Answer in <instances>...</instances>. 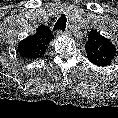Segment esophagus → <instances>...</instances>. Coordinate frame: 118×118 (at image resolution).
Here are the masks:
<instances>
[{
    "mask_svg": "<svg viewBox=\"0 0 118 118\" xmlns=\"http://www.w3.org/2000/svg\"><path fill=\"white\" fill-rule=\"evenodd\" d=\"M67 34H69L68 31L63 32V31H61V30H58V31L56 32V35H58V36H63V35H67Z\"/></svg>",
    "mask_w": 118,
    "mask_h": 118,
    "instance_id": "1",
    "label": "esophagus"
}]
</instances>
